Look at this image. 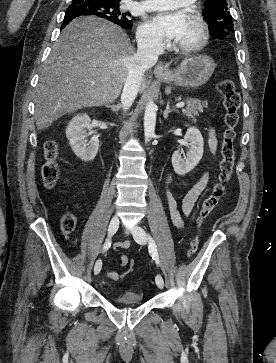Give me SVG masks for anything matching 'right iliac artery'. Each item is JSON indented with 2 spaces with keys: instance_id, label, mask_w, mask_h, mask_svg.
I'll return each mask as SVG.
<instances>
[{
  "instance_id": "1",
  "label": "right iliac artery",
  "mask_w": 276,
  "mask_h": 363,
  "mask_svg": "<svg viewBox=\"0 0 276 363\" xmlns=\"http://www.w3.org/2000/svg\"><path fill=\"white\" fill-rule=\"evenodd\" d=\"M111 246V240L107 239L106 242L103 245V252H105L106 250H108ZM102 267V263L100 266L96 267V273H99Z\"/></svg>"
}]
</instances>
